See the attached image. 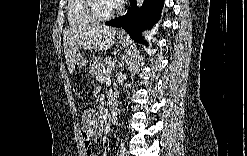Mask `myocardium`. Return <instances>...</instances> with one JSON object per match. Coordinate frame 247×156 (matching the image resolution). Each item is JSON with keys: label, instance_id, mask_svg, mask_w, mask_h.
<instances>
[{"label": "myocardium", "instance_id": "1", "mask_svg": "<svg viewBox=\"0 0 247 156\" xmlns=\"http://www.w3.org/2000/svg\"><path fill=\"white\" fill-rule=\"evenodd\" d=\"M99 1L89 0L86 3V11L87 14L94 20V22L103 23L106 21H110L116 17H118L122 12L121 5H116L114 11L108 15H101L98 13L97 4Z\"/></svg>", "mask_w": 247, "mask_h": 156}]
</instances>
